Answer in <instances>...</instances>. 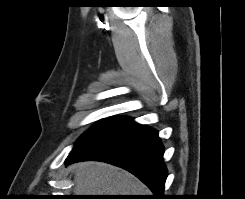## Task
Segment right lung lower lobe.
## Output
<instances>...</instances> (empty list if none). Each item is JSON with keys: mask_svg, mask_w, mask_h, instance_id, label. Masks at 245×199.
Masks as SVG:
<instances>
[{"mask_svg": "<svg viewBox=\"0 0 245 199\" xmlns=\"http://www.w3.org/2000/svg\"><path fill=\"white\" fill-rule=\"evenodd\" d=\"M163 153L158 131L127 118L99 140L69 155L65 165L88 160L113 164L146 184L153 192L151 199H166L163 192L167 169Z\"/></svg>", "mask_w": 245, "mask_h": 199, "instance_id": "right-lung-lower-lobe-1", "label": "right lung lower lobe"}]
</instances>
